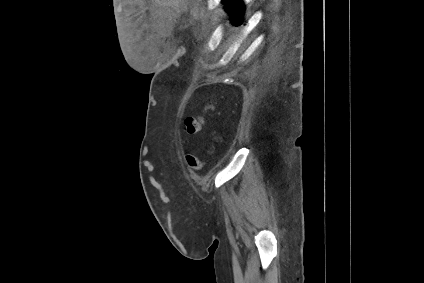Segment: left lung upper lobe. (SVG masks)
I'll return each instance as SVG.
<instances>
[{
    "mask_svg": "<svg viewBox=\"0 0 424 283\" xmlns=\"http://www.w3.org/2000/svg\"><path fill=\"white\" fill-rule=\"evenodd\" d=\"M225 10L231 16V23L238 26L243 23L244 5L241 0H223Z\"/></svg>",
    "mask_w": 424,
    "mask_h": 283,
    "instance_id": "left-lung-upper-lobe-1",
    "label": "left lung upper lobe"
}]
</instances>
